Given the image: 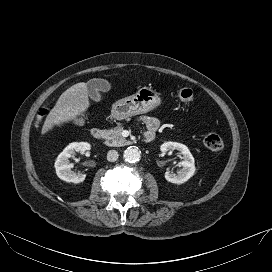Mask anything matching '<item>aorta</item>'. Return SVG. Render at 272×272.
<instances>
[{
  "label": "aorta",
  "mask_w": 272,
  "mask_h": 272,
  "mask_svg": "<svg viewBox=\"0 0 272 272\" xmlns=\"http://www.w3.org/2000/svg\"><path fill=\"white\" fill-rule=\"evenodd\" d=\"M124 159L129 163L138 162L141 158L140 151L137 148L128 147L124 151Z\"/></svg>",
  "instance_id": "aorta-1"
}]
</instances>
